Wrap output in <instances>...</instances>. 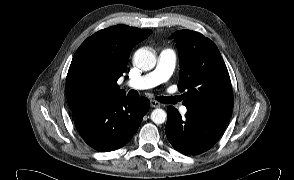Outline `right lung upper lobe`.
Listing matches in <instances>:
<instances>
[{
	"instance_id": "1",
	"label": "right lung upper lobe",
	"mask_w": 294,
	"mask_h": 180,
	"mask_svg": "<svg viewBox=\"0 0 294 180\" xmlns=\"http://www.w3.org/2000/svg\"><path fill=\"white\" fill-rule=\"evenodd\" d=\"M151 33L116 25L87 38L74 54L67 74L66 98L71 111L124 96L117 80L126 70L132 48Z\"/></svg>"
}]
</instances>
